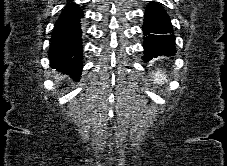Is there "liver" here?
Instances as JSON below:
<instances>
[{"mask_svg": "<svg viewBox=\"0 0 227 166\" xmlns=\"http://www.w3.org/2000/svg\"><path fill=\"white\" fill-rule=\"evenodd\" d=\"M64 77H65V76H62V75H60V74H56V75L54 76V79H55L56 82H58V81L63 80Z\"/></svg>", "mask_w": 227, "mask_h": 166, "instance_id": "6515ba94", "label": "liver"}]
</instances>
